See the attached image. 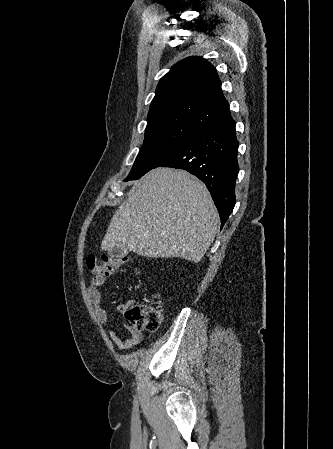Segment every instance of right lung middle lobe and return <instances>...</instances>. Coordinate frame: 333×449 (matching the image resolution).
<instances>
[{
    "mask_svg": "<svg viewBox=\"0 0 333 449\" xmlns=\"http://www.w3.org/2000/svg\"><path fill=\"white\" fill-rule=\"evenodd\" d=\"M202 128L185 123L168 124L145 132L142 149L126 181L139 179L164 157Z\"/></svg>",
    "mask_w": 333,
    "mask_h": 449,
    "instance_id": "right-lung-middle-lobe-1",
    "label": "right lung middle lobe"
}]
</instances>
